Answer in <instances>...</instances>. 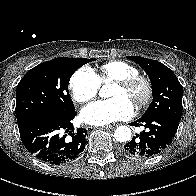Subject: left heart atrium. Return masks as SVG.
Returning a JSON list of instances; mask_svg holds the SVG:
<instances>
[{
  "label": "left heart atrium",
  "mask_w": 196,
  "mask_h": 196,
  "mask_svg": "<svg viewBox=\"0 0 196 196\" xmlns=\"http://www.w3.org/2000/svg\"><path fill=\"white\" fill-rule=\"evenodd\" d=\"M134 113L133 104L124 97L93 102L81 111V118L91 125H107L130 118Z\"/></svg>",
  "instance_id": "left-heart-atrium-1"
}]
</instances>
